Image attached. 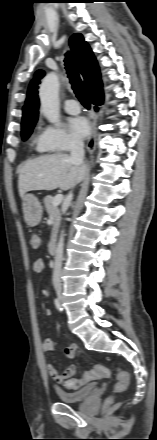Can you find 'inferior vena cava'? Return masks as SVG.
I'll return each mask as SVG.
<instances>
[{"label": "inferior vena cava", "instance_id": "1", "mask_svg": "<svg viewBox=\"0 0 157 440\" xmlns=\"http://www.w3.org/2000/svg\"><path fill=\"white\" fill-rule=\"evenodd\" d=\"M84 143L81 139H74L71 147V161L76 166H81L84 160ZM73 199L72 192L66 198V203H70ZM63 247H64V232L62 231L59 242L57 244L56 252H55V263H54V271H53V285L57 291H61V270H62V261H63Z\"/></svg>", "mask_w": 157, "mask_h": 440}]
</instances>
